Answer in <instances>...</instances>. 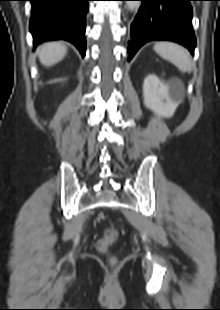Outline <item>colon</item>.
<instances>
[{
  "mask_svg": "<svg viewBox=\"0 0 220 310\" xmlns=\"http://www.w3.org/2000/svg\"><path fill=\"white\" fill-rule=\"evenodd\" d=\"M118 238V232L113 227L106 229L102 238L97 242V249L101 253H106L110 245H112Z\"/></svg>",
  "mask_w": 220,
  "mask_h": 310,
  "instance_id": "5ec220e1",
  "label": "colon"
}]
</instances>
